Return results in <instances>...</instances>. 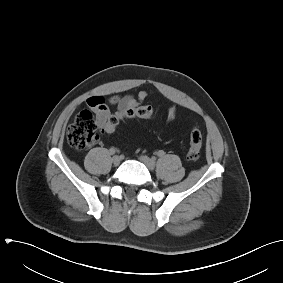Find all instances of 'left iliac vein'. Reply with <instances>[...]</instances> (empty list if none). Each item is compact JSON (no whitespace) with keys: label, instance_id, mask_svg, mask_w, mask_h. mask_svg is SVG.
Returning a JSON list of instances; mask_svg holds the SVG:
<instances>
[{"label":"left iliac vein","instance_id":"left-iliac-vein-1","mask_svg":"<svg viewBox=\"0 0 283 283\" xmlns=\"http://www.w3.org/2000/svg\"><path fill=\"white\" fill-rule=\"evenodd\" d=\"M139 160L145 164V166L150 170V171H153L155 169V161L151 158H149L148 156L146 155H141L139 157Z\"/></svg>","mask_w":283,"mask_h":283}]
</instances>
